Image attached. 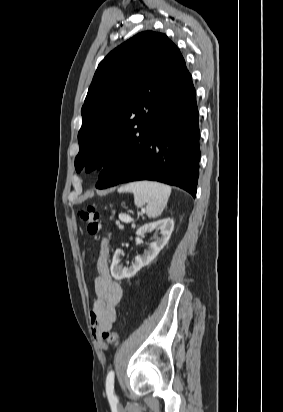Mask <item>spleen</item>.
Listing matches in <instances>:
<instances>
[{
  "label": "spleen",
  "instance_id": "1",
  "mask_svg": "<svg viewBox=\"0 0 283 412\" xmlns=\"http://www.w3.org/2000/svg\"><path fill=\"white\" fill-rule=\"evenodd\" d=\"M118 192L133 193L135 205L137 207L146 205L147 216L154 219L161 215L167 205L171 188L158 182L138 181L121 186Z\"/></svg>",
  "mask_w": 283,
  "mask_h": 412
}]
</instances>
